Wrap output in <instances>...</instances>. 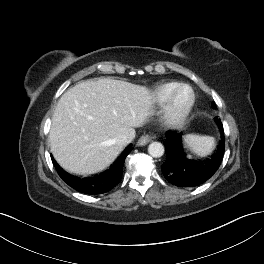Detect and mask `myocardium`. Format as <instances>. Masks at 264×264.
I'll return each mask as SVG.
<instances>
[{
	"instance_id": "myocardium-1",
	"label": "myocardium",
	"mask_w": 264,
	"mask_h": 264,
	"mask_svg": "<svg viewBox=\"0 0 264 264\" xmlns=\"http://www.w3.org/2000/svg\"><path fill=\"white\" fill-rule=\"evenodd\" d=\"M187 90L189 98L184 103H179V94ZM196 103V93L194 89L187 84H180L175 87L164 102L161 120L167 127H178L186 122L192 113Z\"/></svg>"
}]
</instances>
